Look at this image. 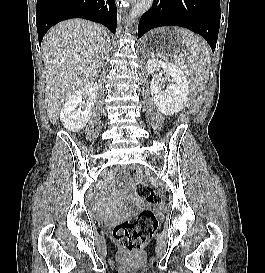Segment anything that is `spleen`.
Wrapping results in <instances>:
<instances>
[{"mask_svg": "<svg viewBox=\"0 0 265 273\" xmlns=\"http://www.w3.org/2000/svg\"><path fill=\"white\" fill-rule=\"evenodd\" d=\"M180 41L185 44L190 52L189 62L195 72V77L200 83L209 79L211 64L210 49L208 44L197 34L183 28H175Z\"/></svg>", "mask_w": 265, "mask_h": 273, "instance_id": "obj_1", "label": "spleen"}]
</instances>
